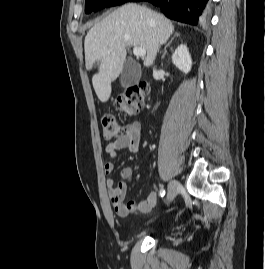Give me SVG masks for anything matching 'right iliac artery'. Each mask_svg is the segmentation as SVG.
<instances>
[{"instance_id":"right-iliac-artery-1","label":"right iliac artery","mask_w":265,"mask_h":269,"mask_svg":"<svg viewBox=\"0 0 265 269\" xmlns=\"http://www.w3.org/2000/svg\"><path fill=\"white\" fill-rule=\"evenodd\" d=\"M165 195V190L164 189H160L159 191V196L163 197Z\"/></svg>"}]
</instances>
